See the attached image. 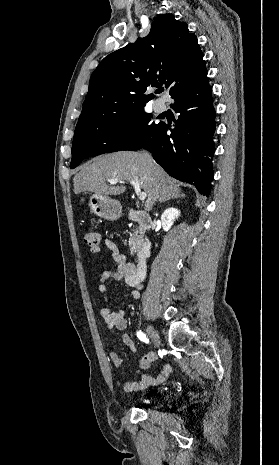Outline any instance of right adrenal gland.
<instances>
[{"instance_id":"2a0ac1e0","label":"right adrenal gland","mask_w":279,"mask_h":465,"mask_svg":"<svg viewBox=\"0 0 279 465\" xmlns=\"http://www.w3.org/2000/svg\"><path fill=\"white\" fill-rule=\"evenodd\" d=\"M184 197H185L184 194H180L178 197H175V198H184ZM166 201H168V200H166ZM166 201H164V202H166Z\"/></svg>"}]
</instances>
